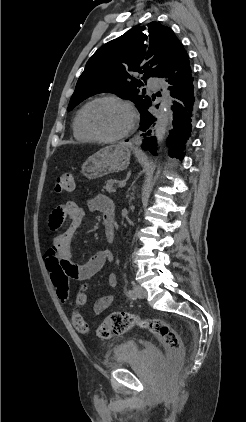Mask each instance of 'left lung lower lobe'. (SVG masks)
Masks as SVG:
<instances>
[{"label": "left lung lower lobe", "mask_w": 246, "mask_h": 422, "mask_svg": "<svg viewBox=\"0 0 246 422\" xmlns=\"http://www.w3.org/2000/svg\"><path fill=\"white\" fill-rule=\"evenodd\" d=\"M189 63V56L181 44L162 76L168 78V83L171 85L169 87L171 96L174 98L171 108L173 110L172 130L167 138L169 155L179 159L183 158L185 144L191 137L197 109L195 83ZM149 106L140 113V130L147 132L142 134L144 140L141 147L156 155L155 137L150 135L149 128L156 118L148 112Z\"/></svg>", "instance_id": "0a47b994"}]
</instances>
